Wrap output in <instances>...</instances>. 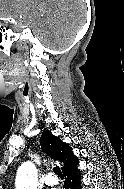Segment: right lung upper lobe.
Segmentation results:
<instances>
[{
  "instance_id": "cb5924a9",
  "label": "right lung upper lobe",
  "mask_w": 124,
  "mask_h": 189,
  "mask_svg": "<svg viewBox=\"0 0 124 189\" xmlns=\"http://www.w3.org/2000/svg\"><path fill=\"white\" fill-rule=\"evenodd\" d=\"M40 143L47 155L63 163V171L77 162L68 144L63 143L58 137L52 135L50 131L43 132Z\"/></svg>"
}]
</instances>
